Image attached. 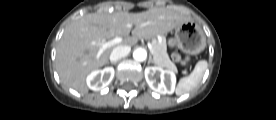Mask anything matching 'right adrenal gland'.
Masks as SVG:
<instances>
[{
	"instance_id": "1",
	"label": "right adrenal gland",
	"mask_w": 276,
	"mask_h": 120,
	"mask_svg": "<svg viewBox=\"0 0 276 120\" xmlns=\"http://www.w3.org/2000/svg\"><path fill=\"white\" fill-rule=\"evenodd\" d=\"M111 64L116 65V64H117V62H111Z\"/></svg>"
}]
</instances>
